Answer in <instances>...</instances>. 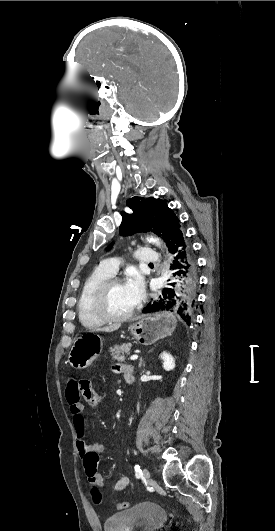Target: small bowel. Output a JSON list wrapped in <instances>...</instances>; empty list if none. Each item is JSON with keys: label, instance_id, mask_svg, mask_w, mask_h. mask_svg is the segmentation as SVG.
<instances>
[{"label": "small bowel", "instance_id": "c3829d8e", "mask_svg": "<svg viewBox=\"0 0 275 531\" xmlns=\"http://www.w3.org/2000/svg\"><path fill=\"white\" fill-rule=\"evenodd\" d=\"M132 372L131 367H125L124 373ZM69 382L64 385V392L69 404L71 420L73 428L78 437L77 449L79 456L82 459L85 473L89 480L94 481L98 487L104 489L107 485L106 479L97 472L99 463V456L106 450V446L103 443L87 444L85 441L86 436V420L84 415L83 405L79 401L81 392L80 375L78 373H71L69 375ZM129 478L127 476L121 477L115 484V490L121 491L129 485Z\"/></svg>", "mask_w": 275, "mask_h": 531}]
</instances>
